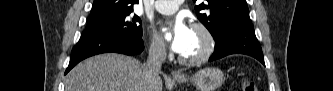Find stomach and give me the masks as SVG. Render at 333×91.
Wrapping results in <instances>:
<instances>
[{
	"label": "stomach",
	"mask_w": 333,
	"mask_h": 91,
	"mask_svg": "<svg viewBox=\"0 0 333 91\" xmlns=\"http://www.w3.org/2000/svg\"><path fill=\"white\" fill-rule=\"evenodd\" d=\"M189 78L176 77L175 80L179 83H184ZM225 80L224 73L218 68H204L196 72L190 81L198 89V91H215Z\"/></svg>",
	"instance_id": "0dacf381"
}]
</instances>
